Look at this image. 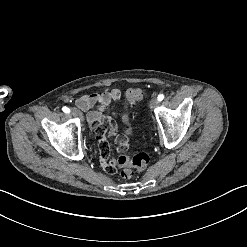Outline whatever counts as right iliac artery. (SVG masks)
<instances>
[{
	"instance_id": "82829eb1",
	"label": "right iliac artery",
	"mask_w": 247,
	"mask_h": 247,
	"mask_svg": "<svg viewBox=\"0 0 247 247\" xmlns=\"http://www.w3.org/2000/svg\"><path fill=\"white\" fill-rule=\"evenodd\" d=\"M62 110H63V112H65V113H69V112H70V109H69L68 107H66V106H64V107L62 108Z\"/></svg>"
}]
</instances>
